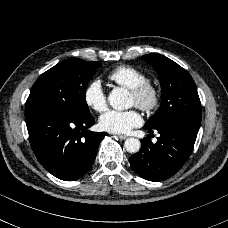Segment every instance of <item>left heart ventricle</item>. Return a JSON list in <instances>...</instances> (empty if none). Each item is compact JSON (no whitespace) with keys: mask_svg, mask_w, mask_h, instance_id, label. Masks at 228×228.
Segmentation results:
<instances>
[{"mask_svg":"<svg viewBox=\"0 0 228 228\" xmlns=\"http://www.w3.org/2000/svg\"><path fill=\"white\" fill-rule=\"evenodd\" d=\"M131 98H132V103L135 104V98L132 94H131Z\"/></svg>","mask_w":228,"mask_h":228,"instance_id":"left-heart-ventricle-1","label":"left heart ventricle"}]
</instances>
